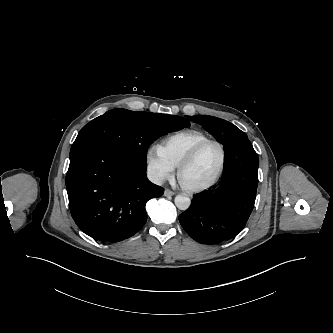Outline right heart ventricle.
I'll return each mask as SVG.
<instances>
[{
	"instance_id": "right-heart-ventricle-1",
	"label": "right heart ventricle",
	"mask_w": 333,
	"mask_h": 333,
	"mask_svg": "<svg viewBox=\"0 0 333 333\" xmlns=\"http://www.w3.org/2000/svg\"><path fill=\"white\" fill-rule=\"evenodd\" d=\"M209 137L198 130H185L165 138L159 145L161 153L175 167H178L184 157L200 142Z\"/></svg>"
}]
</instances>
